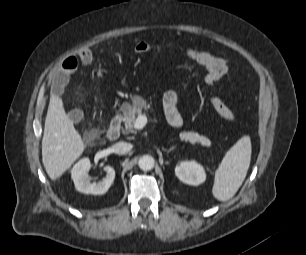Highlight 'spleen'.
<instances>
[{
	"label": "spleen",
	"mask_w": 306,
	"mask_h": 255,
	"mask_svg": "<svg viewBox=\"0 0 306 255\" xmlns=\"http://www.w3.org/2000/svg\"><path fill=\"white\" fill-rule=\"evenodd\" d=\"M251 161V140L240 138L225 154L215 172L213 196L219 201L231 199L242 185Z\"/></svg>",
	"instance_id": "obj_1"
}]
</instances>
